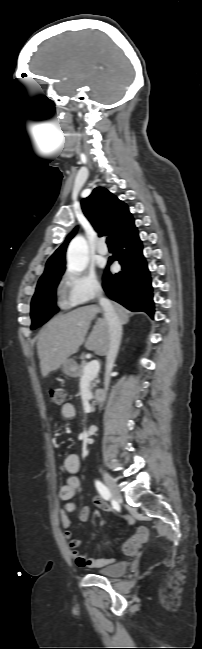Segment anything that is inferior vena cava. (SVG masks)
<instances>
[{"label":"inferior vena cava","instance_id":"602c4592","mask_svg":"<svg viewBox=\"0 0 202 649\" xmlns=\"http://www.w3.org/2000/svg\"><path fill=\"white\" fill-rule=\"evenodd\" d=\"M99 304L103 308L105 317L109 326V346L106 354V381L105 389L108 386V379L113 368L116 356L118 354L119 346L122 338V322L111 302L102 295V291L98 293ZM106 390L102 391L105 394Z\"/></svg>","mask_w":202,"mask_h":649}]
</instances>
